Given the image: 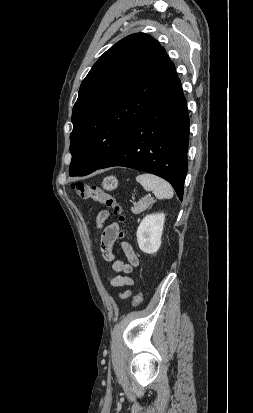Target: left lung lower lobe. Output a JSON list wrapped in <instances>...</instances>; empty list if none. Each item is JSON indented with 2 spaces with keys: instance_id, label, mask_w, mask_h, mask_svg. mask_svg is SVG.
<instances>
[{
  "instance_id": "1",
  "label": "left lung lower lobe",
  "mask_w": 253,
  "mask_h": 413,
  "mask_svg": "<svg viewBox=\"0 0 253 413\" xmlns=\"http://www.w3.org/2000/svg\"><path fill=\"white\" fill-rule=\"evenodd\" d=\"M188 141L187 103L175 72L120 147L98 169L123 166L155 174L171 183L182 200Z\"/></svg>"
}]
</instances>
